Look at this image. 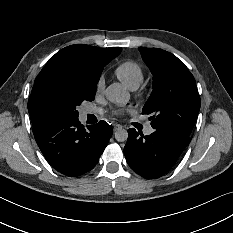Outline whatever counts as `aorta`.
<instances>
[{"instance_id": "1", "label": "aorta", "mask_w": 233, "mask_h": 233, "mask_svg": "<svg viewBox=\"0 0 233 233\" xmlns=\"http://www.w3.org/2000/svg\"><path fill=\"white\" fill-rule=\"evenodd\" d=\"M106 98L115 104L126 105L129 102L130 94L120 83H113L106 89ZM128 138V132L125 129L115 131V139L118 142H124Z\"/></svg>"}]
</instances>
